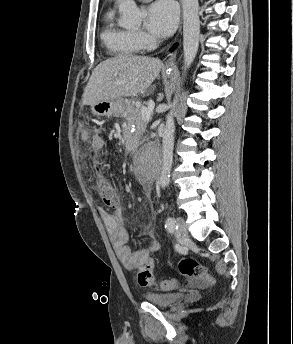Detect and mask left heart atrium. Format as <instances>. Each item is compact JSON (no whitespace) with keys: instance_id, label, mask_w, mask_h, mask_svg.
<instances>
[{"instance_id":"left-heart-atrium-1","label":"left heart atrium","mask_w":293,"mask_h":344,"mask_svg":"<svg viewBox=\"0 0 293 344\" xmlns=\"http://www.w3.org/2000/svg\"><path fill=\"white\" fill-rule=\"evenodd\" d=\"M178 22V11L171 0H159L147 10L146 27L157 37L170 36Z\"/></svg>"}]
</instances>
